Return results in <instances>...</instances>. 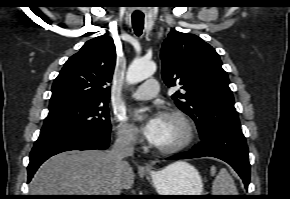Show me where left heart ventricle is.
Returning a JSON list of instances; mask_svg holds the SVG:
<instances>
[{
	"mask_svg": "<svg viewBox=\"0 0 290 199\" xmlns=\"http://www.w3.org/2000/svg\"><path fill=\"white\" fill-rule=\"evenodd\" d=\"M186 137L184 125L174 117L161 116V123L154 145L164 148L181 143Z\"/></svg>",
	"mask_w": 290,
	"mask_h": 199,
	"instance_id": "1",
	"label": "left heart ventricle"
}]
</instances>
